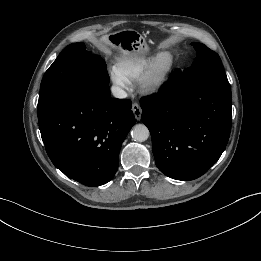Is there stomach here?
Here are the masks:
<instances>
[{
  "mask_svg": "<svg viewBox=\"0 0 261 261\" xmlns=\"http://www.w3.org/2000/svg\"><path fill=\"white\" fill-rule=\"evenodd\" d=\"M109 41L125 54L139 56L148 51L144 37L133 29H124L108 35Z\"/></svg>",
  "mask_w": 261,
  "mask_h": 261,
  "instance_id": "0dacf381",
  "label": "stomach"
}]
</instances>
